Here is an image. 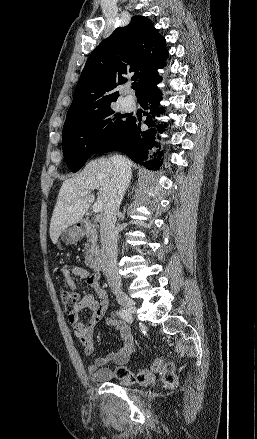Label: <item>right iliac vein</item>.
Here are the masks:
<instances>
[{
	"label": "right iliac vein",
	"mask_w": 257,
	"mask_h": 439,
	"mask_svg": "<svg viewBox=\"0 0 257 439\" xmlns=\"http://www.w3.org/2000/svg\"><path fill=\"white\" fill-rule=\"evenodd\" d=\"M116 299L118 303L128 312H135V302L126 293L120 291L116 292Z\"/></svg>",
	"instance_id": "obj_1"
}]
</instances>
